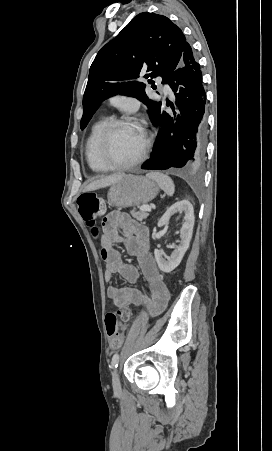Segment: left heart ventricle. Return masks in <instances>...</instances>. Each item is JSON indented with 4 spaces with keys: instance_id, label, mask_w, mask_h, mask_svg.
<instances>
[{
    "instance_id": "b2bd125f",
    "label": "left heart ventricle",
    "mask_w": 272,
    "mask_h": 451,
    "mask_svg": "<svg viewBox=\"0 0 272 451\" xmlns=\"http://www.w3.org/2000/svg\"><path fill=\"white\" fill-rule=\"evenodd\" d=\"M141 134L134 126L117 125L111 130L107 161L109 164H122L130 158Z\"/></svg>"
}]
</instances>
